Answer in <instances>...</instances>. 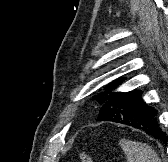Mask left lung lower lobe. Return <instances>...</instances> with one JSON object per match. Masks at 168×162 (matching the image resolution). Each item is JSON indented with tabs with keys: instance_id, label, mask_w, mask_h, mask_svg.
Wrapping results in <instances>:
<instances>
[{
	"instance_id": "left-lung-lower-lobe-1",
	"label": "left lung lower lobe",
	"mask_w": 168,
	"mask_h": 162,
	"mask_svg": "<svg viewBox=\"0 0 168 162\" xmlns=\"http://www.w3.org/2000/svg\"><path fill=\"white\" fill-rule=\"evenodd\" d=\"M141 95V91L113 93L105 104L99 121L135 127L167 144L168 137L158 126L157 111L146 105Z\"/></svg>"
}]
</instances>
